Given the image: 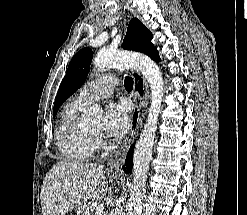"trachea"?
<instances>
[{"mask_svg":"<svg viewBox=\"0 0 247 215\" xmlns=\"http://www.w3.org/2000/svg\"><path fill=\"white\" fill-rule=\"evenodd\" d=\"M124 87L127 91H131L133 89V79L129 76L125 77Z\"/></svg>","mask_w":247,"mask_h":215,"instance_id":"1","label":"trachea"}]
</instances>
